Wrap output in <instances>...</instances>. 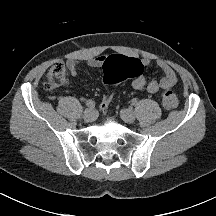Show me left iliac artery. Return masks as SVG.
<instances>
[{"label": "left iliac artery", "instance_id": "1", "mask_svg": "<svg viewBox=\"0 0 216 216\" xmlns=\"http://www.w3.org/2000/svg\"><path fill=\"white\" fill-rule=\"evenodd\" d=\"M132 104H133V105H136V104H137V99H135V98L132 99Z\"/></svg>", "mask_w": 216, "mask_h": 216}]
</instances>
